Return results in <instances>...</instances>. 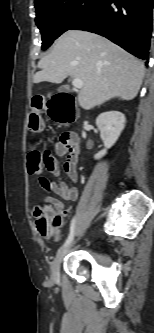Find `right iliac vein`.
<instances>
[{"label":"right iliac vein","instance_id":"obj_1","mask_svg":"<svg viewBox=\"0 0 154 333\" xmlns=\"http://www.w3.org/2000/svg\"><path fill=\"white\" fill-rule=\"evenodd\" d=\"M73 244H74V242L70 243L69 245H67L63 248H61L57 252L54 260L51 263V267H50L52 280H54V281L59 280L61 262H62L64 256L69 252V250H70V248L72 247Z\"/></svg>","mask_w":154,"mask_h":333}]
</instances>
